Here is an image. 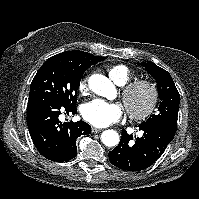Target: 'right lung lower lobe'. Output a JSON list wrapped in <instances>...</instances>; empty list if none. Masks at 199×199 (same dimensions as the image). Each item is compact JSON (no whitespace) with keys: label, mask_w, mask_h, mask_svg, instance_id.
Wrapping results in <instances>:
<instances>
[{"label":"right lung lower lobe","mask_w":199,"mask_h":199,"mask_svg":"<svg viewBox=\"0 0 199 199\" xmlns=\"http://www.w3.org/2000/svg\"><path fill=\"white\" fill-rule=\"evenodd\" d=\"M76 107L65 106L58 98L37 93L29 96L27 125L33 143L45 158L64 162L77 155L76 140L90 134L91 126L83 121L60 122L62 112L75 114Z\"/></svg>","instance_id":"right-lung-lower-lobe-1"}]
</instances>
